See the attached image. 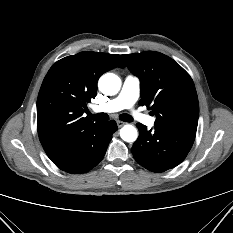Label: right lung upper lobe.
<instances>
[{"label":"right lung upper lobe","instance_id":"cb5924a9","mask_svg":"<svg viewBox=\"0 0 233 233\" xmlns=\"http://www.w3.org/2000/svg\"><path fill=\"white\" fill-rule=\"evenodd\" d=\"M117 66H125L120 55L85 51L50 68L37 99V128L52 161L75 162L89 154L100 123L82 115L96 96L99 77Z\"/></svg>","mask_w":233,"mask_h":233}]
</instances>
